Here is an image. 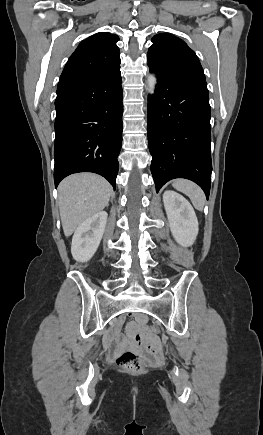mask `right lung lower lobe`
Returning <instances> with one entry per match:
<instances>
[{
	"label": "right lung lower lobe",
	"mask_w": 263,
	"mask_h": 435,
	"mask_svg": "<svg viewBox=\"0 0 263 435\" xmlns=\"http://www.w3.org/2000/svg\"><path fill=\"white\" fill-rule=\"evenodd\" d=\"M120 68L103 77L57 89L55 186L77 172H94L116 189L122 144Z\"/></svg>",
	"instance_id": "obj_1"
}]
</instances>
